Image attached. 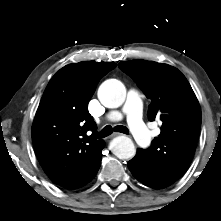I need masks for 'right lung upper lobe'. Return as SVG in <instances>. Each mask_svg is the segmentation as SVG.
Segmentation results:
<instances>
[{"instance_id":"right-lung-upper-lobe-1","label":"right lung upper lobe","mask_w":221,"mask_h":221,"mask_svg":"<svg viewBox=\"0 0 221 221\" xmlns=\"http://www.w3.org/2000/svg\"><path fill=\"white\" fill-rule=\"evenodd\" d=\"M115 67L112 62L94 61L66 65L44 91L32 141L43 170L61 187H81L100 159L104 141L97 140L87 106L99 80Z\"/></svg>"}]
</instances>
